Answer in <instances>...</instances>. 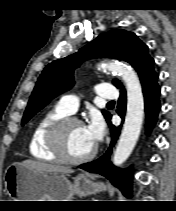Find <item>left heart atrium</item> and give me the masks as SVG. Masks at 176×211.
<instances>
[{"mask_svg": "<svg viewBox=\"0 0 176 211\" xmlns=\"http://www.w3.org/2000/svg\"><path fill=\"white\" fill-rule=\"evenodd\" d=\"M85 130L90 141L95 145L102 140L105 127L99 117H94L86 126Z\"/></svg>", "mask_w": 176, "mask_h": 211, "instance_id": "39dd6f15", "label": "left heart atrium"}]
</instances>
